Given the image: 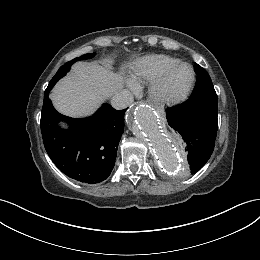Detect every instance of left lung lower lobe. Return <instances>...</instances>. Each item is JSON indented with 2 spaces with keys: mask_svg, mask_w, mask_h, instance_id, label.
Listing matches in <instances>:
<instances>
[{
  "mask_svg": "<svg viewBox=\"0 0 260 260\" xmlns=\"http://www.w3.org/2000/svg\"><path fill=\"white\" fill-rule=\"evenodd\" d=\"M216 94L191 97L167 109V122L185 153L191 174L199 171L213 153L218 128Z\"/></svg>",
  "mask_w": 260,
  "mask_h": 260,
  "instance_id": "left-lung-lower-lobe-1",
  "label": "left lung lower lobe"
}]
</instances>
